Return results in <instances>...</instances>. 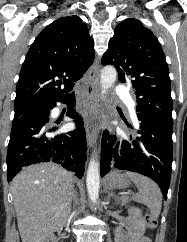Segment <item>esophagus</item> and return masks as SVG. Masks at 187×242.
<instances>
[{
	"label": "esophagus",
	"mask_w": 187,
	"mask_h": 242,
	"mask_svg": "<svg viewBox=\"0 0 187 242\" xmlns=\"http://www.w3.org/2000/svg\"><path fill=\"white\" fill-rule=\"evenodd\" d=\"M86 95L89 101L85 114V130L87 143L92 147L97 137L95 124V117L97 114L96 103L99 98V63L97 61L89 70V81L86 85Z\"/></svg>",
	"instance_id": "obj_1"
}]
</instances>
